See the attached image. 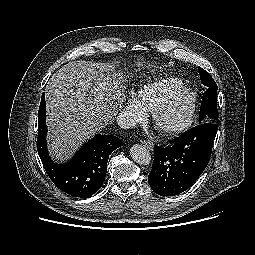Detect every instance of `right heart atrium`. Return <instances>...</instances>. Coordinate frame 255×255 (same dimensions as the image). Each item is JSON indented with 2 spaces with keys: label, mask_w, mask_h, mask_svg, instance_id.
<instances>
[{
  "label": "right heart atrium",
  "mask_w": 255,
  "mask_h": 255,
  "mask_svg": "<svg viewBox=\"0 0 255 255\" xmlns=\"http://www.w3.org/2000/svg\"><path fill=\"white\" fill-rule=\"evenodd\" d=\"M125 113L130 123L140 122L145 116L143 109L133 97L126 99Z\"/></svg>",
  "instance_id": "1"
}]
</instances>
